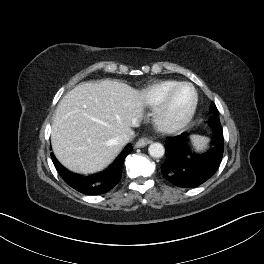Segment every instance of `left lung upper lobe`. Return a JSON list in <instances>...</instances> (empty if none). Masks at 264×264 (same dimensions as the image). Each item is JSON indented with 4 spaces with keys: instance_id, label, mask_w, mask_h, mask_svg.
<instances>
[{
    "instance_id": "1",
    "label": "left lung upper lobe",
    "mask_w": 264,
    "mask_h": 264,
    "mask_svg": "<svg viewBox=\"0 0 264 264\" xmlns=\"http://www.w3.org/2000/svg\"><path fill=\"white\" fill-rule=\"evenodd\" d=\"M210 111L214 113L215 115H218V110L216 106L214 105V103L211 104ZM209 125L212 128H215L218 126L221 127L220 119L217 116H214L211 120H209Z\"/></svg>"
}]
</instances>
